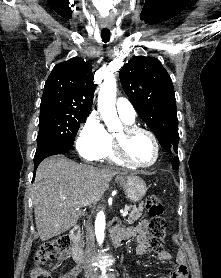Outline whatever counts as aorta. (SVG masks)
<instances>
[{"instance_id":"aorta-1","label":"aorta","mask_w":221,"mask_h":278,"mask_svg":"<svg viewBox=\"0 0 221 278\" xmlns=\"http://www.w3.org/2000/svg\"><path fill=\"white\" fill-rule=\"evenodd\" d=\"M117 91V83L114 76L106 77L100 86L98 94V109L108 127L112 121L118 120V115L115 107V98ZM105 214L100 211L95 220V235L99 245H102L105 237Z\"/></svg>"}]
</instances>
